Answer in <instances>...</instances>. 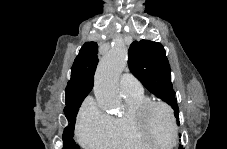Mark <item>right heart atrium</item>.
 Instances as JSON below:
<instances>
[{
	"label": "right heart atrium",
	"instance_id": "d8ad5b80",
	"mask_svg": "<svg viewBox=\"0 0 227 149\" xmlns=\"http://www.w3.org/2000/svg\"><path fill=\"white\" fill-rule=\"evenodd\" d=\"M111 117L103 112L95 99L88 98L77 116L76 132L80 144L88 149H100L108 145Z\"/></svg>",
	"mask_w": 227,
	"mask_h": 149
}]
</instances>
